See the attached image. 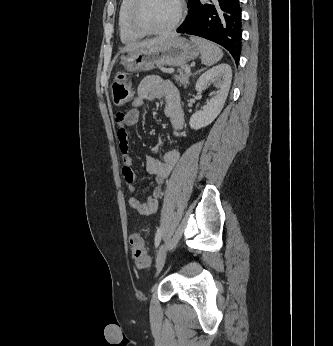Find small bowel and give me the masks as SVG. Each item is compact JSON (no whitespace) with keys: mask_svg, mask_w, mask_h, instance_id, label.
Masks as SVG:
<instances>
[{"mask_svg":"<svg viewBox=\"0 0 333 346\" xmlns=\"http://www.w3.org/2000/svg\"><path fill=\"white\" fill-rule=\"evenodd\" d=\"M164 99L165 115L169 119L173 134L180 131L184 122V112L181 105L179 91L169 80H164L156 75H149L140 82L137 95L132 99V108L127 109L124 114L120 113L116 118L117 137L120 143L121 159L123 163L122 173L124 181L131 193L138 191L135 183V173L133 171V159L130 152L128 141V128L136 125L139 121V107L148 100ZM180 156L178 148L168 151L163 159L154 157L146 159V170L155 178V185L152 196L146 202H142L136 197L129 199L130 207L141 215H152L158 208L159 198L162 195V186L165 179L170 174L172 168L177 163ZM150 259V258H149Z\"/></svg>","mask_w":333,"mask_h":346,"instance_id":"c3829d8e","label":"small bowel"}]
</instances>
